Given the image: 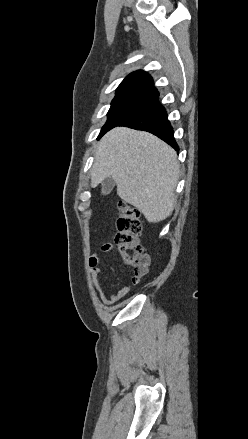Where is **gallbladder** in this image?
<instances>
[{"instance_id":"obj_1","label":"gallbladder","mask_w":248,"mask_h":439,"mask_svg":"<svg viewBox=\"0 0 248 439\" xmlns=\"http://www.w3.org/2000/svg\"><path fill=\"white\" fill-rule=\"evenodd\" d=\"M115 181L112 177H107L102 182V194L108 195L114 188Z\"/></svg>"}]
</instances>
